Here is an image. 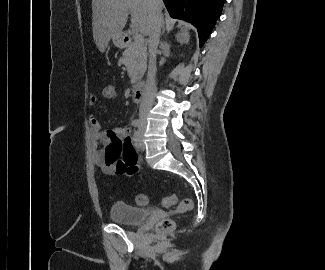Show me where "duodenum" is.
<instances>
[{
	"instance_id": "1",
	"label": "duodenum",
	"mask_w": 325,
	"mask_h": 270,
	"mask_svg": "<svg viewBox=\"0 0 325 270\" xmlns=\"http://www.w3.org/2000/svg\"><path fill=\"white\" fill-rule=\"evenodd\" d=\"M125 40H128L127 37H125ZM144 92H145V86L143 84H137L133 89V101L135 103H142L144 99Z\"/></svg>"
}]
</instances>
